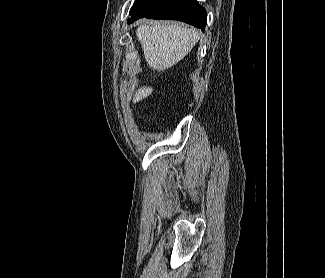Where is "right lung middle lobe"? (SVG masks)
<instances>
[{
	"instance_id": "dd1d6c3e",
	"label": "right lung middle lobe",
	"mask_w": 325,
	"mask_h": 278,
	"mask_svg": "<svg viewBox=\"0 0 325 278\" xmlns=\"http://www.w3.org/2000/svg\"><path fill=\"white\" fill-rule=\"evenodd\" d=\"M135 2H136V0H135ZM133 8V7H132ZM132 8H131V10H130V15L132 14Z\"/></svg>"
}]
</instances>
